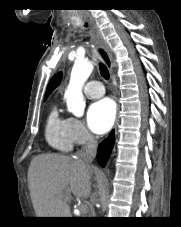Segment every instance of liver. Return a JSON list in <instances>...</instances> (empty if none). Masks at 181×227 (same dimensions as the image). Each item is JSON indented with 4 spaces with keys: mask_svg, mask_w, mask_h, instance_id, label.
<instances>
[{
    "mask_svg": "<svg viewBox=\"0 0 181 227\" xmlns=\"http://www.w3.org/2000/svg\"><path fill=\"white\" fill-rule=\"evenodd\" d=\"M91 173V167L72 156L40 154L34 157L28 170V183L37 217H70V194L89 197Z\"/></svg>",
    "mask_w": 181,
    "mask_h": 227,
    "instance_id": "6515ba94",
    "label": "liver"
}]
</instances>
